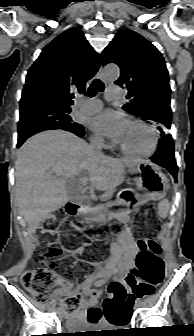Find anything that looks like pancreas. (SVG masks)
<instances>
[{"instance_id": "cf45deb5", "label": "pancreas", "mask_w": 194, "mask_h": 336, "mask_svg": "<svg viewBox=\"0 0 194 336\" xmlns=\"http://www.w3.org/2000/svg\"><path fill=\"white\" fill-rule=\"evenodd\" d=\"M99 209L102 210L100 212L99 218L101 220H105V215L108 213H111L112 211H120L123 209V206L120 204H116L115 201H112L111 203H107L104 206L100 205Z\"/></svg>"}]
</instances>
